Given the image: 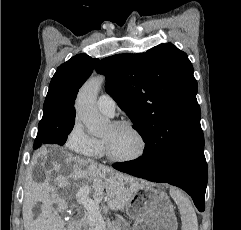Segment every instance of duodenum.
I'll list each match as a JSON object with an SVG mask.
<instances>
[{
    "mask_svg": "<svg viewBox=\"0 0 241 230\" xmlns=\"http://www.w3.org/2000/svg\"><path fill=\"white\" fill-rule=\"evenodd\" d=\"M76 221H77V220L75 219V220H73V221L70 223L71 229H73V228L75 227Z\"/></svg>",
    "mask_w": 241,
    "mask_h": 230,
    "instance_id": "obj_1",
    "label": "duodenum"
}]
</instances>
